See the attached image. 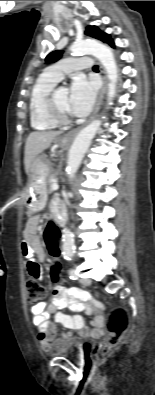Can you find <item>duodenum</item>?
Masks as SVG:
<instances>
[{
  "instance_id": "duodenum-1",
  "label": "duodenum",
  "mask_w": 155,
  "mask_h": 395,
  "mask_svg": "<svg viewBox=\"0 0 155 395\" xmlns=\"http://www.w3.org/2000/svg\"><path fill=\"white\" fill-rule=\"evenodd\" d=\"M54 218H55V222L58 223V225L64 224L67 220L66 211L63 208L57 209L56 212L54 213Z\"/></svg>"
}]
</instances>
